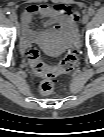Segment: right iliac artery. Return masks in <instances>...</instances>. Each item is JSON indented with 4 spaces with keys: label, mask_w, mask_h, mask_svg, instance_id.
Segmentation results:
<instances>
[{
    "label": "right iliac artery",
    "mask_w": 104,
    "mask_h": 137,
    "mask_svg": "<svg viewBox=\"0 0 104 137\" xmlns=\"http://www.w3.org/2000/svg\"><path fill=\"white\" fill-rule=\"evenodd\" d=\"M4 13H5V14H10V13H11V10H10L9 8H5V9H4Z\"/></svg>",
    "instance_id": "1"
}]
</instances>
